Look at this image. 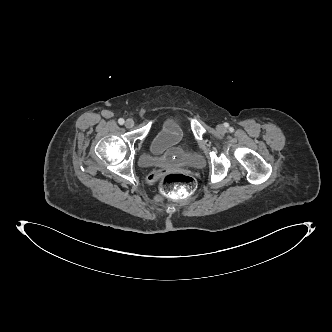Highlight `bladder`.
<instances>
[{"instance_id":"bladder-1","label":"bladder","mask_w":332,"mask_h":332,"mask_svg":"<svg viewBox=\"0 0 332 332\" xmlns=\"http://www.w3.org/2000/svg\"><path fill=\"white\" fill-rule=\"evenodd\" d=\"M175 137L166 141L169 137ZM184 131L181 125L173 120L166 121L152 138L149 152L142 153L138 163L143 168L152 167H191L199 168L202 163L200 154L182 144ZM162 147L158 149L159 144Z\"/></svg>"}]
</instances>
